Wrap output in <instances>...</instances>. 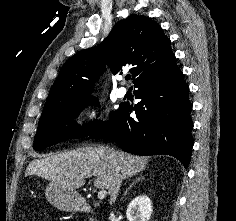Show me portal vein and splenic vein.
I'll list each match as a JSON object with an SVG mask.
<instances>
[{
  "label": "portal vein and splenic vein",
  "mask_w": 236,
  "mask_h": 221,
  "mask_svg": "<svg viewBox=\"0 0 236 221\" xmlns=\"http://www.w3.org/2000/svg\"><path fill=\"white\" fill-rule=\"evenodd\" d=\"M106 195H107V191L106 190H101V191L98 192L97 197H98V199L102 200L106 197Z\"/></svg>",
  "instance_id": "18ae733b"
}]
</instances>
